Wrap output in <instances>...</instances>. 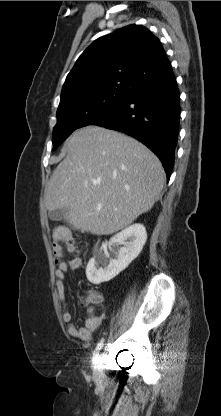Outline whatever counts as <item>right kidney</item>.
<instances>
[{
	"label": "right kidney",
	"mask_w": 221,
	"mask_h": 416,
	"mask_svg": "<svg viewBox=\"0 0 221 416\" xmlns=\"http://www.w3.org/2000/svg\"><path fill=\"white\" fill-rule=\"evenodd\" d=\"M128 239L130 241H127ZM146 240L147 233L142 224L136 223L125 228L110 239L111 244L120 243L124 245L118 251L117 258L109 259L108 253L101 248L99 253L91 258L87 264V279L93 284H100L113 279L139 255Z\"/></svg>",
	"instance_id": "right-kidney-1"
}]
</instances>
